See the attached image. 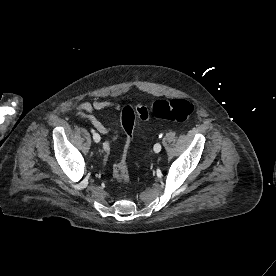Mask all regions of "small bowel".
Wrapping results in <instances>:
<instances>
[{
  "instance_id": "1",
  "label": "small bowel",
  "mask_w": 276,
  "mask_h": 276,
  "mask_svg": "<svg viewBox=\"0 0 276 276\" xmlns=\"http://www.w3.org/2000/svg\"><path fill=\"white\" fill-rule=\"evenodd\" d=\"M106 109H113L118 114L121 112V105L111 100H96L93 102H83L76 107L77 115L79 118L87 120L90 124L103 135L109 134L110 129L107 128L95 115V111ZM116 140V136L103 143V149L107 155L111 152V146Z\"/></svg>"
}]
</instances>
